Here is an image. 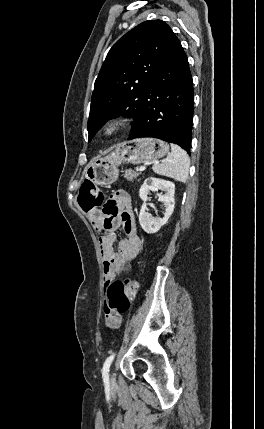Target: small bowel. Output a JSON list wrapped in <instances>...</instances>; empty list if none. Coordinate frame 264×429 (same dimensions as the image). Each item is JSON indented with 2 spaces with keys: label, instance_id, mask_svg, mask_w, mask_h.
Wrapping results in <instances>:
<instances>
[{
  "label": "small bowel",
  "instance_id": "1",
  "mask_svg": "<svg viewBox=\"0 0 264 429\" xmlns=\"http://www.w3.org/2000/svg\"><path fill=\"white\" fill-rule=\"evenodd\" d=\"M87 213V212H86ZM93 226L104 232L99 238L103 260V281L105 286L120 271L123 264L134 259L141 249V240L137 234L135 216L131 210V197L125 190L115 191L103 208L87 213ZM122 227L125 238L114 248L116 230ZM105 323L109 328L117 329L121 324V315L107 311L104 307Z\"/></svg>",
  "mask_w": 264,
  "mask_h": 429
}]
</instances>
